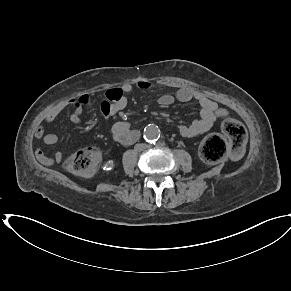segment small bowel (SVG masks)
<instances>
[{"label": "small bowel", "instance_id": "small-bowel-1", "mask_svg": "<svg viewBox=\"0 0 291 291\" xmlns=\"http://www.w3.org/2000/svg\"><path fill=\"white\" fill-rule=\"evenodd\" d=\"M135 85L141 89H148L150 87L149 80L140 76L136 79ZM133 89V84L125 82L119 86L109 88L103 101L101 102L100 109L105 119L117 115L122 111L128 103V95ZM177 99L181 102L194 100L200 106V117L190 124H179L178 131L184 137H193L207 132L214 123L224 117L227 111L218 106V104L207 97L204 93L194 90L190 87H182L177 90L175 96L170 94H163L159 97L158 102L162 106L171 105ZM90 97L83 94L77 98L71 99L68 102L59 104L52 108L43 118L42 123L35 130V137L43 139L44 143L50 146L58 143V137L53 133H45L44 125L54 122L67 108H72L70 120L76 125L83 123L82 113L83 107L89 103ZM112 133L115 140L122 145H130L138 139V132L132 129L125 121H118L112 127ZM37 158L47 163L48 159L44 156L42 150L36 151ZM64 159V154L57 151L54 155V161L61 163Z\"/></svg>", "mask_w": 291, "mask_h": 291}]
</instances>
